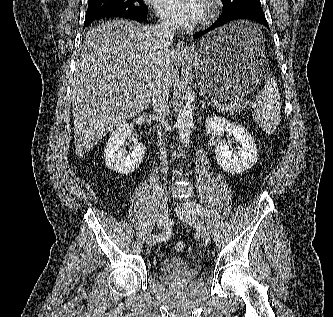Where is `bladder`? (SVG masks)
<instances>
[{
	"mask_svg": "<svg viewBox=\"0 0 333 317\" xmlns=\"http://www.w3.org/2000/svg\"><path fill=\"white\" fill-rule=\"evenodd\" d=\"M191 261L181 257H168L160 262L159 268L162 272L179 271L192 268Z\"/></svg>",
	"mask_w": 333,
	"mask_h": 317,
	"instance_id": "1",
	"label": "bladder"
}]
</instances>
